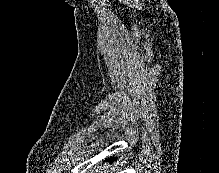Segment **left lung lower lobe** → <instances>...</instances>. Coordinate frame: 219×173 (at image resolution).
I'll return each instance as SVG.
<instances>
[{
  "instance_id": "1",
  "label": "left lung lower lobe",
  "mask_w": 219,
  "mask_h": 173,
  "mask_svg": "<svg viewBox=\"0 0 219 173\" xmlns=\"http://www.w3.org/2000/svg\"><path fill=\"white\" fill-rule=\"evenodd\" d=\"M112 159H113V158L111 157L108 161L112 162Z\"/></svg>"
}]
</instances>
